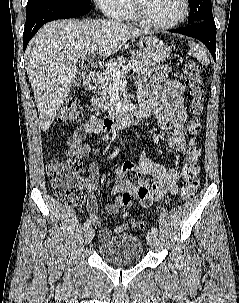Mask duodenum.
I'll list each match as a JSON object with an SVG mask.
<instances>
[{"label":"duodenum","mask_w":239,"mask_h":303,"mask_svg":"<svg viewBox=\"0 0 239 303\" xmlns=\"http://www.w3.org/2000/svg\"><path fill=\"white\" fill-rule=\"evenodd\" d=\"M98 75L95 71L87 74L84 81L86 89H94L97 85ZM150 109L146 105H141L135 109L121 111L115 115L107 116L100 122L103 131L111 132L119 130L125 126L135 125L148 117Z\"/></svg>","instance_id":"duodenum-1"}]
</instances>
